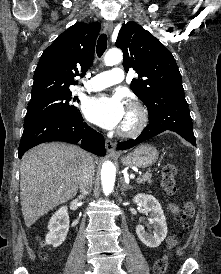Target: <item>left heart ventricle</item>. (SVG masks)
I'll use <instances>...</instances> for the list:
<instances>
[{
  "mask_svg": "<svg viewBox=\"0 0 221 274\" xmlns=\"http://www.w3.org/2000/svg\"><path fill=\"white\" fill-rule=\"evenodd\" d=\"M133 120H134V116H133L132 112L129 110H126L125 116H124V119L122 122V126L132 123Z\"/></svg>",
  "mask_w": 221,
  "mask_h": 274,
  "instance_id": "1",
  "label": "left heart ventricle"
}]
</instances>
